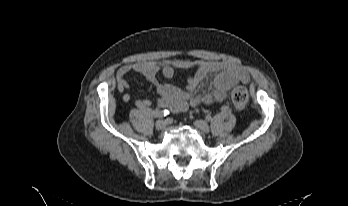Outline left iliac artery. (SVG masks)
I'll list each match as a JSON object with an SVG mask.
<instances>
[{
  "mask_svg": "<svg viewBox=\"0 0 348 206\" xmlns=\"http://www.w3.org/2000/svg\"><path fill=\"white\" fill-rule=\"evenodd\" d=\"M222 111H223V112H230V107H228V106H222Z\"/></svg>",
  "mask_w": 348,
  "mask_h": 206,
  "instance_id": "obj_1",
  "label": "left iliac artery"
}]
</instances>
